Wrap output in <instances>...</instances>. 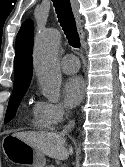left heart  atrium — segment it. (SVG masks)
<instances>
[{"instance_id": "left-heart-atrium-1", "label": "left heart atrium", "mask_w": 125, "mask_h": 167, "mask_svg": "<svg viewBox=\"0 0 125 167\" xmlns=\"http://www.w3.org/2000/svg\"><path fill=\"white\" fill-rule=\"evenodd\" d=\"M85 92V84L81 77H69L63 86L64 99L67 105L74 107L80 103Z\"/></svg>"}]
</instances>
